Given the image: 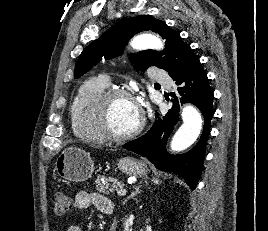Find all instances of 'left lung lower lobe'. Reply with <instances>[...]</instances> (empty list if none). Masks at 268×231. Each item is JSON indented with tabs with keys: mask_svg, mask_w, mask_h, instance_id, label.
I'll use <instances>...</instances> for the list:
<instances>
[{
	"mask_svg": "<svg viewBox=\"0 0 268 231\" xmlns=\"http://www.w3.org/2000/svg\"><path fill=\"white\" fill-rule=\"evenodd\" d=\"M171 78L178 86L173 106L168 113L155 121L152 128L142 137L123 145L150 160L158 169L174 172L184 178L191 189H195L202 170L210 121L213 116V92L207 75L198 57L180 73ZM192 103L204 116V128L198 143L187 153L170 155L165 150L167 139L177 124L180 104Z\"/></svg>",
	"mask_w": 268,
	"mask_h": 231,
	"instance_id": "1",
	"label": "left lung lower lobe"
}]
</instances>
